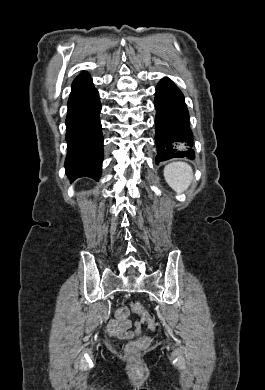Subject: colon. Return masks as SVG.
Segmentation results:
<instances>
[{
    "mask_svg": "<svg viewBox=\"0 0 265 390\" xmlns=\"http://www.w3.org/2000/svg\"><path fill=\"white\" fill-rule=\"evenodd\" d=\"M132 311L144 319L149 329L154 330L156 328L157 325L155 320L149 315V313L141 304H133ZM115 315L118 319H127L130 315V311L127 308H117L115 310ZM147 341L148 340L146 337L141 336L138 339L129 342L125 348L126 353L128 355H134L147 344Z\"/></svg>",
    "mask_w": 265,
    "mask_h": 390,
    "instance_id": "obj_1",
    "label": "colon"
}]
</instances>
